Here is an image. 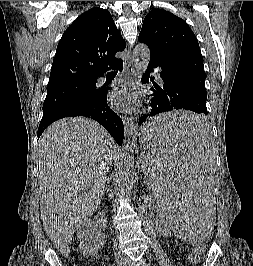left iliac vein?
I'll list each match as a JSON object with an SVG mask.
<instances>
[{
  "instance_id": "1",
  "label": "left iliac vein",
  "mask_w": 253,
  "mask_h": 266,
  "mask_svg": "<svg viewBox=\"0 0 253 266\" xmlns=\"http://www.w3.org/2000/svg\"><path fill=\"white\" fill-rule=\"evenodd\" d=\"M125 263L127 264V266H148L147 264H145L143 262H141V263H139L137 265H133L128 258H125Z\"/></svg>"
}]
</instances>
